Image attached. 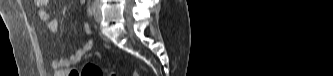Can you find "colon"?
Segmentation results:
<instances>
[{"label":"colon","mask_w":333,"mask_h":76,"mask_svg":"<svg viewBox=\"0 0 333 76\" xmlns=\"http://www.w3.org/2000/svg\"><path fill=\"white\" fill-rule=\"evenodd\" d=\"M84 76H104V72L93 62H87L81 69ZM110 76H116L115 73H110Z\"/></svg>","instance_id":"5ec220e1"}]
</instances>
